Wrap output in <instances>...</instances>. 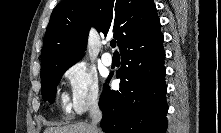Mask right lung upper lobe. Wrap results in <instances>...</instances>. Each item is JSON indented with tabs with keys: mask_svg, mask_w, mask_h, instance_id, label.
<instances>
[{
	"mask_svg": "<svg viewBox=\"0 0 221 133\" xmlns=\"http://www.w3.org/2000/svg\"><path fill=\"white\" fill-rule=\"evenodd\" d=\"M90 27L113 32L121 49L161 34L153 0H64L53 10L42 49V69L77 62L86 49Z\"/></svg>",
	"mask_w": 221,
	"mask_h": 133,
	"instance_id": "right-lung-upper-lobe-1",
	"label": "right lung upper lobe"
}]
</instances>
